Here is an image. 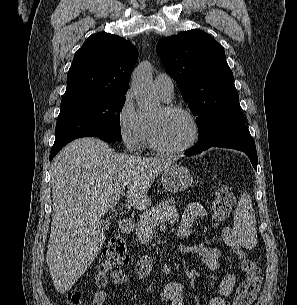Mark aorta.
Masks as SVG:
<instances>
[{
    "label": "aorta",
    "mask_w": 297,
    "mask_h": 305,
    "mask_svg": "<svg viewBox=\"0 0 297 305\" xmlns=\"http://www.w3.org/2000/svg\"><path fill=\"white\" fill-rule=\"evenodd\" d=\"M151 71L150 63L142 62L133 71L131 77L134 98L142 112H154L159 106L153 89Z\"/></svg>",
    "instance_id": "aorta-1"
}]
</instances>
